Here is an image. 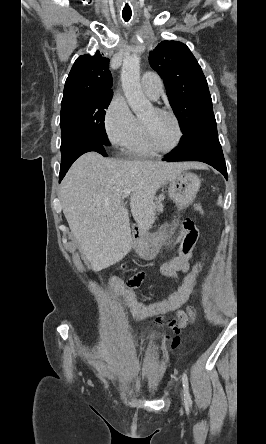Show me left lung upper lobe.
<instances>
[{
  "label": "left lung upper lobe",
  "instance_id": "left-lung-upper-lobe-1",
  "mask_svg": "<svg viewBox=\"0 0 266 444\" xmlns=\"http://www.w3.org/2000/svg\"><path fill=\"white\" fill-rule=\"evenodd\" d=\"M149 63L164 81L170 105L185 132L213 114L206 78L189 48L163 41L150 53Z\"/></svg>",
  "mask_w": 266,
  "mask_h": 444
}]
</instances>
